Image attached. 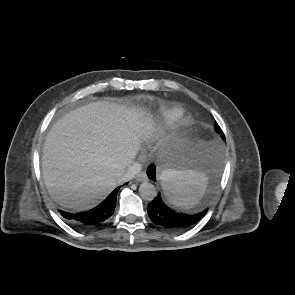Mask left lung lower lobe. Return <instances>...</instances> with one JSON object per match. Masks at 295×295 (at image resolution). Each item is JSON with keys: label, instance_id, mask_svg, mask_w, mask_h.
<instances>
[{"label": "left lung lower lobe", "instance_id": "left-lung-lower-lobe-1", "mask_svg": "<svg viewBox=\"0 0 295 295\" xmlns=\"http://www.w3.org/2000/svg\"><path fill=\"white\" fill-rule=\"evenodd\" d=\"M208 165H212V159L206 155ZM147 174L149 178L155 181V167L152 166L148 169ZM148 215L153 223L170 231H184L196 224L207 213V209L195 214L185 215L173 212L162 201L160 194L148 205Z\"/></svg>", "mask_w": 295, "mask_h": 295}]
</instances>
